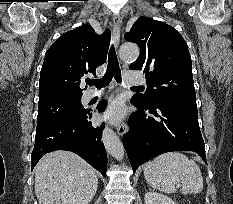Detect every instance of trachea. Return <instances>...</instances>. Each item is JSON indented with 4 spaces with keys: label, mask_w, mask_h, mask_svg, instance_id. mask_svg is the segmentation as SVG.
<instances>
[{
    "label": "trachea",
    "mask_w": 233,
    "mask_h": 204,
    "mask_svg": "<svg viewBox=\"0 0 233 204\" xmlns=\"http://www.w3.org/2000/svg\"><path fill=\"white\" fill-rule=\"evenodd\" d=\"M112 78L118 83H121V70L119 67L118 59L116 56L115 48L112 45L108 54V66L106 73L99 80H88L86 83L90 86L95 85L98 89L107 86ZM140 88L139 86L133 87V89Z\"/></svg>",
    "instance_id": "obj_1"
}]
</instances>
